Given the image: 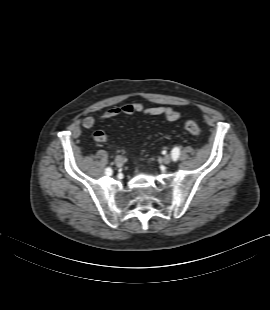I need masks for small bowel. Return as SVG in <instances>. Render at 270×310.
I'll list each match as a JSON object with an SVG mask.
<instances>
[{"label":"small bowel","instance_id":"1","mask_svg":"<svg viewBox=\"0 0 270 310\" xmlns=\"http://www.w3.org/2000/svg\"><path fill=\"white\" fill-rule=\"evenodd\" d=\"M134 114H143L148 116H163L167 121L174 122L177 121L180 117L178 111L171 107H146L144 104L140 102H134L129 104H124L119 107H113L104 112V114L100 118H94L92 116L85 117L82 120V126L84 128H92L98 122H103L115 117H119L122 115H134ZM93 139L96 142H105L108 140V135L102 131L97 130L93 134Z\"/></svg>","mask_w":270,"mask_h":310}]
</instances>
